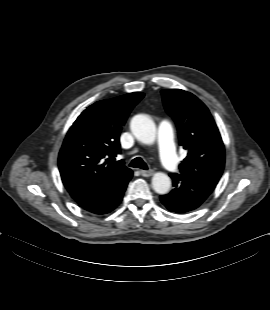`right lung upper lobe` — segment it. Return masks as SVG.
<instances>
[{"label":"right lung upper lobe","mask_w":270,"mask_h":310,"mask_svg":"<svg viewBox=\"0 0 270 310\" xmlns=\"http://www.w3.org/2000/svg\"><path fill=\"white\" fill-rule=\"evenodd\" d=\"M143 97L134 92L98 101L75 120L58 158L62 182L72 197L96 190L130 170L114 157L120 154L122 126Z\"/></svg>","instance_id":"cb5924a9"}]
</instances>
